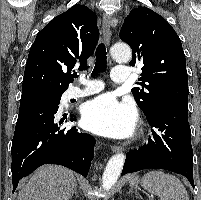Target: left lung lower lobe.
<instances>
[{
	"mask_svg": "<svg viewBox=\"0 0 201 200\" xmlns=\"http://www.w3.org/2000/svg\"><path fill=\"white\" fill-rule=\"evenodd\" d=\"M145 116L153 126L152 138L126 155L121 175L149 168L166 169L184 175L194 187L187 101L169 99L158 102Z\"/></svg>",
	"mask_w": 201,
	"mask_h": 200,
	"instance_id": "obj_1",
	"label": "left lung lower lobe"
}]
</instances>
